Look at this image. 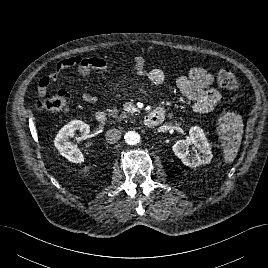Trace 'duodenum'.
I'll return each instance as SVG.
<instances>
[{"label":"duodenum","mask_w":268,"mask_h":268,"mask_svg":"<svg viewBox=\"0 0 268 268\" xmlns=\"http://www.w3.org/2000/svg\"><path fill=\"white\" fill-rule=\"evenodd\" d=\"M164 116L163 110H153L145 117L144 124L147 127H155L162 122ZM94 120L99 124H105L108 121V117L105 113L98 111L94 115Z\"/></svg>","instance_id":"410a0bca"}]
</instances>
